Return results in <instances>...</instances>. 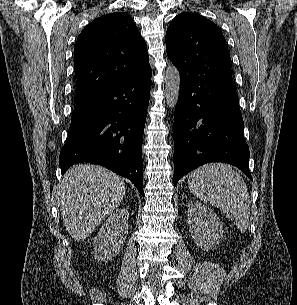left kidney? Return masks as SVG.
Masks as SVG:
<instances>
[{
    "label": "left kidney",
    "mask_w": 297,
    "mask_h": 305,
    "mask_svg": "<svg viewBox=\"0 0 297 305\" xmlns=\"http://www.w3.org/2000/svg\"><path fill=\"white\" fill-rule=\"evenodd\" d=\"M188 223L194 242L203 250L214 248L223 237L220 218L212 209L198 201L188 204Z\"/></svg>",
    "instance_id": "1"
}]
</instances>
